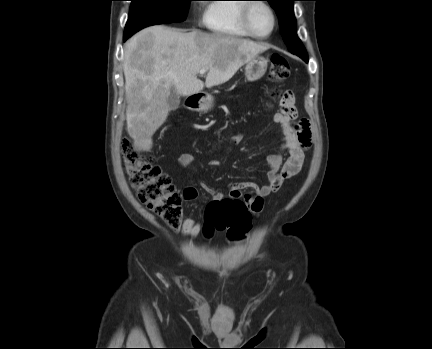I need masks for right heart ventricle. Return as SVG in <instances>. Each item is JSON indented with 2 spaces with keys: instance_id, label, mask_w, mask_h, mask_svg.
Returning a JSON list of instances; mask_svg holds the SVG:
<instances>
[{
  "instance_id": "1",
  "label": "right heart ventricle",
  "mask_w": 432,
  "mask_h": 349,
  "mask_svg": "<svg viewBox=\"0 0 432 349\" xmlns=\"http://www.w3.org/2000/svg\"><path fill=\"white\" fill-rule=\"evenodd\" d=\"M222 1L244 0H212L204 14V25L212 33L229 38H247L249 35L242 28L240 13L242 3H222Z\"/></svg>"
}]
</instances>
